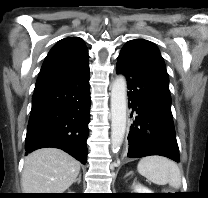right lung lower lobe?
I'll list each match as a JSON object with an SVG mask.
<instances>
[{
    "instance_id": "obj_1",
    "label": "right lung lower lobe",
    "mask_w": 208,
    "mask_h": 198,
    "mask_svg": "<svg viewBox=\"0 0 208 198\" xmlns=\"http://www.w3.org/2000/svg\"><path fill=\"white\" fill-rule=\"evenodd\" d=\"M89 65L64 81L35 89L25 141L26 154L45 147L87 161L90 119Z\"/></svg>"
}]
</instances>
